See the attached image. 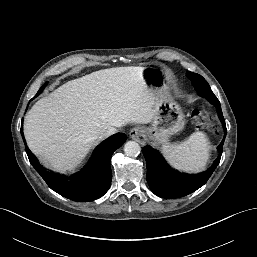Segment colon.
<instances>
[{"label": "colon", "mask_w": 257, "mask_h": 257, "mask_svg": "<svg viewBox=\"0 0 257 257\" xmlns=\"http://www.w3.org/2000/svg\"><path fill=\"white\" fill-rule=\"evenodd\" d=\"M191 117L199 126L208 127L211 125L210 117L206 113L202 112L201 110H198V109L193 110Z\"/></svg>", "instance_id": "colon-1"}]
</instances>
